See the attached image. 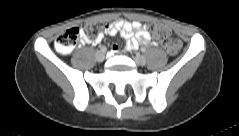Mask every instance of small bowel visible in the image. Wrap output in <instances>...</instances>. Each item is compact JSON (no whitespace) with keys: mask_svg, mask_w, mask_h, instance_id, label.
I'll list each match as a JSON object with an SVG mask.
<instances>
[{"mask_svg":"<svg viewBox=\"0 0 239 136\" xmlns=\"http://www.w3.org/2000/svg\"><path fill=\"white\" fill-rule=\"evenodd\" d=\"M117 34H120L126 40L124 46L126 51L135 50L140 44H154L151 34L148 32L145 25L137 21L130 22L125 19H119L107 25L104 33L99 35L96 39H89L87 36L82 35V40L84 43L97 45L101 43L105 35L115 36ZM118 51L119 47L113 45L110 53L114 55Z\"/></svg>","mask_w":239,"mask_h":136,"instance_id":"small-bowel-1","label":"small bowel"}]
</instances>
